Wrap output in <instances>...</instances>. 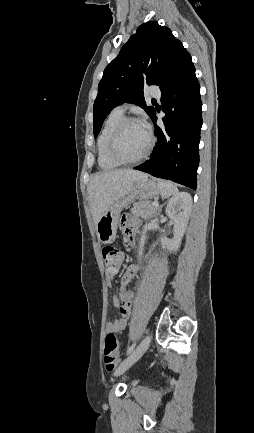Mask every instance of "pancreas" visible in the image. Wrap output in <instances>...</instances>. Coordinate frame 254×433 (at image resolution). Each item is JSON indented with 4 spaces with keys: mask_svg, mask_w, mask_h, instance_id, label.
<instances>
[{
    "mask_svg": "<svg viewBox=\"0 0 254 433\" xmlns=\"http://www.w3.org/2000/svg\"><path fill=\"white\" fill-rule=\"evenodd\" d=\"M130 212L134 216L151 219L159 214V208L152 205L151 201H139L133 204Z\"/></svg>",
    "mask_w": 254,
    "mask_h": 433,
    "instance_id": "1",
    "label": "pancreas"
}]
</instances>
